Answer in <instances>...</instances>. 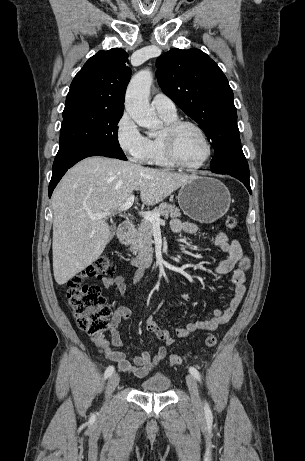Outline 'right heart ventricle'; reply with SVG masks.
<instances>
[{
	"label": "right heart ventricle",
	"instance_id": "obj_1",
	"mask_svg": "<svg viewBox=\"0 0 305 461\" xmlns=\"http://www.w3.org/2000/svg\"><path fill=\"white\" fill-rule=\"evenodd\" d=\"M159 115L166 125L176 120V115L175 116H167V115H162V114H159ZM161 137H162V134L150 135L149 137H147V149H146V155H145L143 162L150 164V165L159 166V167L172 168L174 167V165L170 163L167 157L165 156Z\"/></svg>",
	"mask_w": 305,
	"mask_h": 461
}]
</instances>
